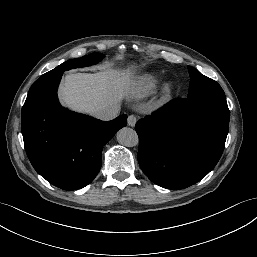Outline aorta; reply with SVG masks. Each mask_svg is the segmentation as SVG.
<instances>
[{"mask_svg": "<svg viewBox=\"0 0 257 257\" xmlns=\"http://www.w3.org/2000/svg\"><path fill=\"white\" fill-rule=\"evenodd\" d=\"M117 140L126 147L136 146L139 142L136 131L129 127H124L117 132Z\"/></svg>", "mask_w": 257, "mask_h": 257, "instance_id": "1", "label": "aorta"}]
</instances>
